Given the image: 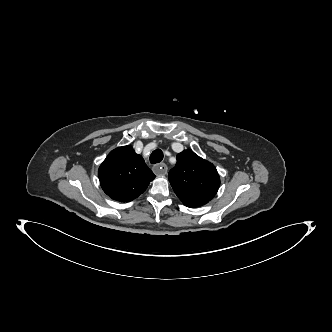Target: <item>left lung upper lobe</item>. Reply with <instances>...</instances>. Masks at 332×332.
<instances>
[{
    "label": "left lung upper lobe",
    "instance_id": "left-lung-upper-lobe-1",
    "mask_svg": "<svg viewBox=\"0 0 332 332\" xmlns=\"http://www.w3.org/2000/svg\"><path fill=\"white\" fill-rule=\"evenodd\" d=\"M168 178L176 195L190 208L208 203L220 185L215 166L191 150L177 155L176 166L170 170Z\"/></svg>",
    "mask_w": 332,
    "mask_h": 332
}]
</instances>
